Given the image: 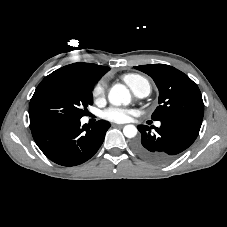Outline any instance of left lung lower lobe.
<instances>
[{"label": "left lung lower lobe", "instance_id": "1", "mask_svg": "<svg viewBox=\"0 0 227 227\" xmlns=\"http://www.w3.org/2000/svg\"><path fill=\"white\" fill-rule=\"evenodd\" d=\"M159 128L153 127L156 133L145 125H139L141 139L134 144L135 152L143 159L163 164L173 160L187 149L197 138L202 121L175 117L160 120Z\"/></svg>", "mask_w": 227, "mask_h": 227}]
</instances>
